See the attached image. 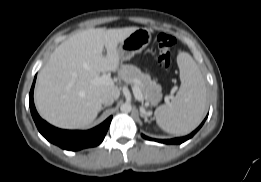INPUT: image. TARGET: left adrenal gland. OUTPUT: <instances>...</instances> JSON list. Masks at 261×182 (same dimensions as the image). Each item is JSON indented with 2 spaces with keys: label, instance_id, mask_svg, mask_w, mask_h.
<instances>
[{
  "label": "left adrenal gland",
  "instance_id": "a2214340",
  "mask_svg": "<svg viewBox=\"0 0 261 182\" xmlns=\"http://www.w3.org/2000/svg\"><path fill=\"white\" fill-rule=\"evenodd\" d=\"M140 111H141V116L144 117L145 121H148L146 112L144 110H141V109H140Z\"/></svg>",
  "mask_w": 261,
  "mask_h": 182
}]
</instances>
